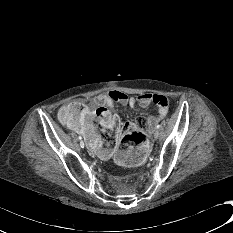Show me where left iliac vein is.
<instances>
[{
	"mask_svg": "<svg viewBox=\"0 0 233 233\" xmlns=\"http://www.w3.org/2000/svg\"><path fill=\"white\" fill-rule=\"evenodd\" d=\"M153 137L154 139H157L159 137V130L155 129L154 133H153Z\"/></svg>",
	"mask_w": 233,
	"mask_h": 233,
	"instance_id": "left-iliac-vein-1",
	"label": "left iliac vein"
}]
</instances>
